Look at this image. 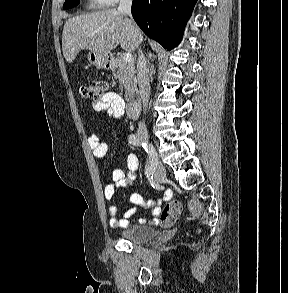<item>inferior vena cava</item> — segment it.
<instances>
[{
    "instance_id": "1",
    "label": "inferior vena cava",
    "mask_w": 288,
    "mask_h": 293,
    "mask_svg": "<svg viewBox=\"0 0 288 293\" xmlns=\"http://www.w3.org/2000/svg\"><path fill=\"white\" fill-rule=\"evenodd\" d=\"M131 4L132 0H120L118 11L124 15L131 17ZM129 21L132 24V28L136 33H139V29L134 21L130 18ZM146 60L141 50H139V56L137 61V81L139 86L140 97L143 102L144 113L147 108V103L150 95L149 78L146 72ZM138 135L147 136V128L145 122H140L138 125Z\"/></svg>"
}]
</instances>
